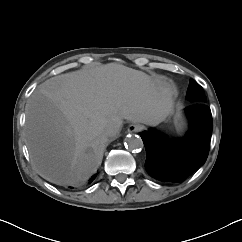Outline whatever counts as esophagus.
<instances>
[{"mask_svg":"<svg viewBox=\"0 0 242 242\" xmlns=\"http://www.w3.org/2000/svg\"><path fill=\"white\" fill-rule=\"evenodd\" d=\"M142 129H143V127L139 124H130L128 126L127 131L130 133H134V132L137 133V132H140Z\"/></svg>","mask_w":242,"mask_h":242,"instance_id":"obj_1","label":"esophagus"}]
</instances>
